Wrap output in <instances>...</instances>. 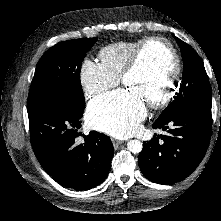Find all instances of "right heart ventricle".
<instances>
[{"instance_id":"right-heart-ventricle-1","label":"right heart ventricle","mask_w":221,"mask_h":221,"mask_svg":"<svg viewBox=\"0 0 221 221\" xmlns=\"http://www.w3.org/2000/svg\"><path fill=\"white\" fill-rule=\"evenodd\" d=\"M142 40L119 41L105 46L99 52V64L106 73L119 78L136 45Z\"/></svg>"}]
</instances>
